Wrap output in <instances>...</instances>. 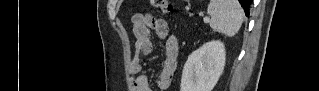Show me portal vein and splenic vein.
I'll return each mask as SVG.
<instances>
[{
    "mask_svg": "<svg viewBox=\"0 0 319 91\" xmlns=\"http://www.w3.org/2000/svg\"><path fill=\"white\" fill-rule=\"evenodd\" d=\"M204 22H209V18H205V19H204Z\"/></svg>",
    "mask_w": 319,
    "mask_h": 91,
    "instance_id": "obj_1",
    "label": "portal vein and splenic vein"
}]
</instances>
